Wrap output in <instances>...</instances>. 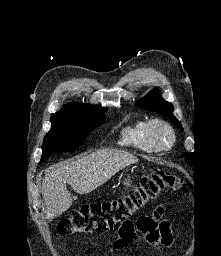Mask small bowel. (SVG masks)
<instances>
[{
    "instance_id": "obj_1",
    "label": "small bowel",
    "mask_w": 221,
    "mask_h": 256,
    "mask_svg": "<svg viewBox=\"0 0 221 256\" xmlns=\"http://www.w3.org/2000/svg\"><path fill=\"white\" fill-rule=\"evenodd\" d=\"M163 214L164 208L159 206L153 215L140 216L130 228L119 231L112 250H121L131 244L136 231L144 234L146 241L153 247H170L173 243L172 232L169 222L163 219Z\"/></svg>"
}]
</instances>
